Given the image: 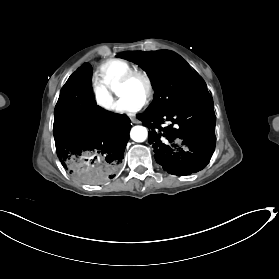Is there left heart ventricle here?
Segmentation results:
<instances>
[{"mask_svg":"<svg viewBox=\"0 0 279 279\" xmlns=\"http://www.w3.org/2000/svg\"><path fill=\"white\" fill-rule=\"evenodd\" d=\"M145 85L142 81L136 80L133 83L119 89L120 98L144 99Z\"/></svg>","mask_w":279,"mask_h":279,"instance_id":"b2bd125f","label":"left heart ventricle"}]
</instances>
